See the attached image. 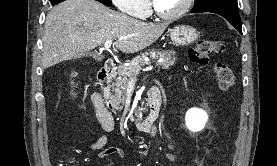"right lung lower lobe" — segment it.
<instances>
[{
    "mask_svg": "<svg viewBox=\"0 0 277 166\" xmlns=\"http://www.w3.org/2000/svg\"><path fill=\"white\" fill-rule=\"evenodd\" d=\"M63 1H65V0H50L51 4H52L53 6L56 5V4H58V3H60V2H63Z\"/></svg>",
    "mask_w": 277,
    "mask_h": 166,
    "instance_id": "obj_1",
    "label": "right lung lower lobe"
}]
</instances>
